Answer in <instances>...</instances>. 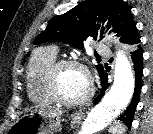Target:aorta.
Returning <instances> with one entry per match:
<instances>
[{
    "mask_svg": "<svg viewBox=\"0 0 153 134\" xmlns=\"http://www.w3.org/2000/svg\"><path fill=\"white\" fill-rule=\"evenodd\" d=\"M134 87L131 64L123 52H118L113 85L102 101L91 110L79 134H95L107 126L127 107Z\"/></svg>",
    "mask_w": 153,
    "mask_h": 134,
    "instance_id": "aorta-1",
    "label": "aorta"
}]
</instances>
